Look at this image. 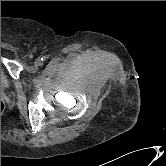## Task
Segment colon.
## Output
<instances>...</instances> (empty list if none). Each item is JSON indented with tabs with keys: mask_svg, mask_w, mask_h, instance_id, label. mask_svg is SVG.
<instances>
[{
	"mask_svg": "<svg viewBox=\"0 0 166 166\" xmlns=\"http://www.w3.org/2000/svg\"><path fill=\"white\" fill-rule=\"evenodd\" d=\"M4 108H5L4 102H3V100H1V114H2L3 111H4Z\"/></svg>",
	"mask_w": 166,
	"mask_h": 166,
	"instance_id": "obj_1",
	"label": "colon"
}]
</instances>
